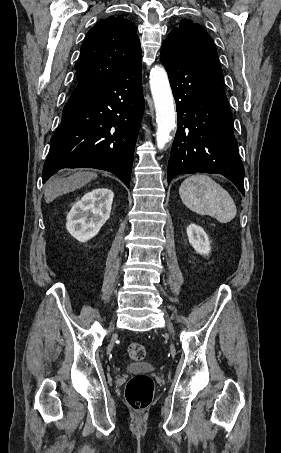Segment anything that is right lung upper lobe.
Here are the masks:
<instances>
[{"mask_svg": "<svg viewBox=\"0 0 281 453\" xmlns=\"http://www.w3.org/2000/svg\"><path fill=\"white\" fill-rule=\"evenodd\" d=\"M141 58L135 24L123 16H110L91 28L75 64L77 83L116 78Z\"/></svg>", "mask_w": 281, "mask_h": 453, "instance_id": "1", "label": "right lung upper lobe"}]
</instances>
